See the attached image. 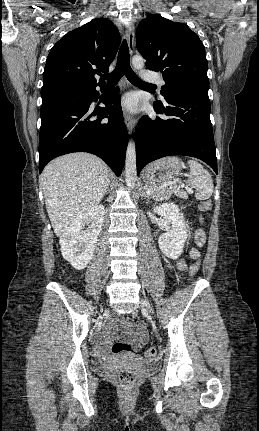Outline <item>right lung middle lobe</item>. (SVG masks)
I'll return each mask as SVG.
<instances>
[{"label": "right lung middle lobe", "instance_id": "obj_1", "mask_svg": "<svg viewBox=\"0 0 259 431\" xmlns=\"http://www.w3.org/2000/svg\"><path fill=\"white\" fill-rule=\"evenodd\" d=\"M69 90H79V89H74V88L66 87V86H55V87L41 90V96H42V98H44V97L53 95V94L58 93V92L69 91Z\"/></svg>", "mask_w": 259, "mask_h": 431}]
</instances>
